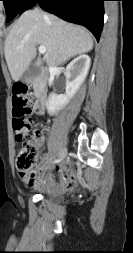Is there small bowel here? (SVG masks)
I'll list each match as a JSON object with an SVG mask.
<instances>
[{
    "mask_svg": "<svg viewBox=\"0 0 133 253\" xmlns=\"http://www.w3.org/2000/svg\"><path fill=\"white\" fill-rule=\"evenodd\" d=\"M42 143L43 141L40 139L38 145L41 146ZM52 158V153H46L34 169L27 172H20L19 176L22 182L37 190L53 192H63L76 187L79 182V177L67 164L55 166L58 180H56L52 173L46 172Z\"/></svg>",
    "mask_w": 133,
    "mask_h": 253,
    "instance_id": "obj_1",
    "label": "small bowel"
}]
</instances>
